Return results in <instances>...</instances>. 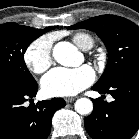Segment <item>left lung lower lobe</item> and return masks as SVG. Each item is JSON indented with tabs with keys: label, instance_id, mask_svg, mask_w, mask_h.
<instances>
[{
	"label": "left lung lower lobe",
	"instance_id": "1",
	"mask_svg": "<svg viewBox=\"0 0 139 139\" xmlns=\"http://www.w3.org/2000/svg\"><path fill=\"white\" fill-rule=\"evenodd\" d=\"M92 89L111 94L114 101L93 100L94 110L84 121L88 134L93 139L131 138L139 128V66L128 69L107 87L94 85Z\"/></svg>",
	"mask_w": 139,
	"mask_h": 139
}]
</instances>
